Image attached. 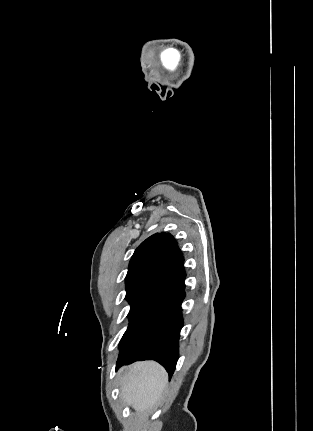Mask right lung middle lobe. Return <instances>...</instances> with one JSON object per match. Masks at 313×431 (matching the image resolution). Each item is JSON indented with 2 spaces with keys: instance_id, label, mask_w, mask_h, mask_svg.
<instances>
[{
  "instance_id": "obj_1",
  "label": "right lung middle lobe",
  "mask_w": 313,
  "mask_h": 431,
  "mask_svg": "<svg viewBox=\"0 0 313 431\" xmlns=\"http://www.w3.org/2000/svg\"><path fill=\"white\" fill-rule=\"evenodd\" d=\"M131 305L130 312L128 314L129 320L131 321L138 311L142 308L146 302V297H126Z\"/></svg>"
}]
</instances>
